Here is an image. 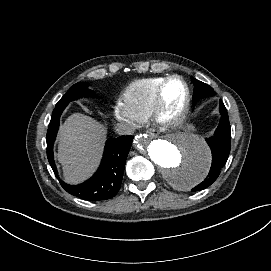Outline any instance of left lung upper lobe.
<instances>
[{
	"label": "left lung upper lobe",
	"mask_w": 271,
	"mask_h": 271,
	"mask_svg": "<svg viewBox=\"0 0 271 271\" xmlns=\"http://www.w3.org/2000/svg\"><path fill=\"white\" fill-rule=\"evenodd\" d=\"M194 84L193 103L195 104L199 99L214 95L213 88L201 81L191 77Z\"/></svg>",
	"instance_id": "1"
}]
</instances>
